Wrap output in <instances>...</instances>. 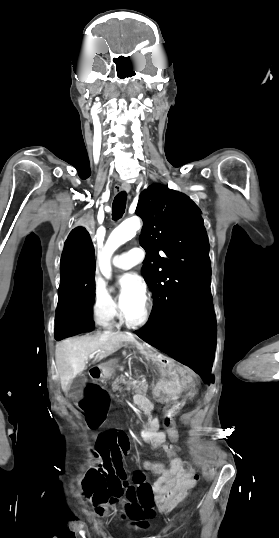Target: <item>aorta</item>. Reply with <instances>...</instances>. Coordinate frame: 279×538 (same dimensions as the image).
<instances>
[{
	"label": "aorta",
	"instance_id": "1",
	"mask_svg": "<svg viewBox=\"0 0 279 538\" xmlns=\"http://www.w3.org/2000/svg\"><path fill=\"white\" fill-rule=\"evenodd\" d=\"M140 228V219L138 217H132L123 221L112 231L99 259L100 270L106 278L111 277L110 259L114 251L132 239Z\"/></svg>",
	"mask_w": 279,
	"mask_h": 538
}]
</instances>
